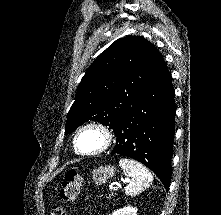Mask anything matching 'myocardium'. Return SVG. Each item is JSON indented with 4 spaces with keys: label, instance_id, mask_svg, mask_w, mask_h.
<instances>
[{
    "label": "myocardium",
    "instance_id": "obj_1",
    "mask_svg": "<svg viewBox=\"0 0 221 215\" xmlns=\"http://www.w3.org/2000/svg\"><path fill=\"white\" fill-rule=\"evenodd\" d=\"M87 130L98 131L101 134L102 139H103L102 145L98 149H96L94 151H90V152H86V151L81 150L79 148V144H78V140H79L80 135ZM113 140H114V133L109 126H107L106 124H104L102 122L93 121V122H89V123L82 125L76 131L74 139H73V146H74L75 151L80 155L96 156V155L102 154L105 151H107L112 146Z\"/></svg>",
    "mask_w": 221,
    "mask_h": 215
}]
</instances>
